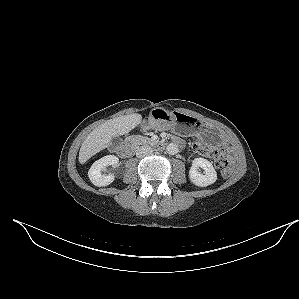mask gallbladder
Returning <instances> with one entry per match:
<instances>
[{
  "mask_svg": "<svg viewBox=\"0 0 299 299\" xmlns=\"http://www.w3.org/2000/svg\"><path fill=\"white\" fill-rule=\"evenodd\" d=\"M120 142L121 139L118 136L112 138V143H120Z\"/></svg>",
  "mask_w": 299,
  "mask_h": 299,
  "instance_id": "bac80fb5",
  "label": "gallbladder"
}]
</instances>
